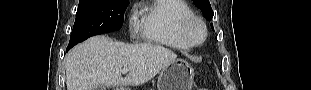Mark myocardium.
Returning <instances> with one entry per match:
<instances>
[{
    "label": "myocardium",
    "instance_id": "myocardium-1",
    "mask_svg": "<svg viewBox=\"0 0 311 90\" xmlns=\"http://www.w3.org/2000/svg\"><path fill=\"white\" fill-rule=\"evenodd\" d=\"M200 28L201 36L199 39H196L193 36V29ZM207 27L205 22L196 16L185 19L180 26V35L183 40L192 47H197L202 45L207 38Z\"/></svg>",
    "mask_w": 311,
    "mask_h": 90
}]
</instances>
